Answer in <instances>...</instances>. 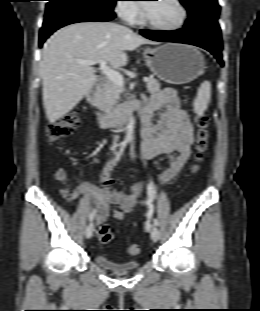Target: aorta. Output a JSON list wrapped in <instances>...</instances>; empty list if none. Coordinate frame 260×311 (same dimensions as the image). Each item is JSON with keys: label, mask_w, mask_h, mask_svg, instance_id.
<instances>
[{"label": "aorta", "mask_w": 260, "mask_h": 311, "mask_svg": "<svg viewBox=\"0 0 260 311\" xmlns=\"http://www.w3.org/2000/svg\"><path fill=\"white\" fill-rule=\"evenodd\" d=\"M134 128H135V119L133 116H131L127 124L126 141L132 140Z\"/></svg>", "instance_id": "aorta-1"}]
</instances>
